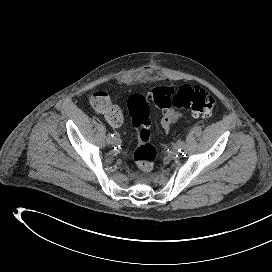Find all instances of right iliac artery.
Wrapping results in <instances>:
<instances>
[{"instance_id":"right-iliac-artery-1","label":"right iliac artery","mask_w":272,"mask_h":272,"mask_svg":"<svg viewBox=\"0 0 272 272\" xmlns=\"http://www.w3.org/2000/svg\"><path fill=\"white\" fill-rule=\"evenodd\" d=\"M108 136H109L110 139L113 140V141L117 140L118 137H119V136H118V132H117V130H115V129L110 130V132L108 133Z\"/></svg>"}]
</instances>
